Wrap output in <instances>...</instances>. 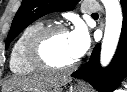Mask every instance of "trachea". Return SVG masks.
I'll return each mask as SVG.
<instances>
[{"label":"trachea","mask_w":127,"mask_h":92,"mask_svg":"<svg viewBox=\"0 0 127 92\" xmlns=\"http://www.w3.org/2000/svg\"><path fill=\"white\" fill-rule=\"evenodd\" d=\"M92 16H98V14L97 13H92Z\"/></svg>","instance_id":"3493384b"}]
</instances>
